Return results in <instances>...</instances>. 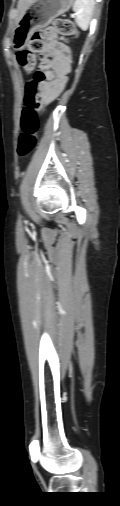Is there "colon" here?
I'll return each mask as SVG.
<instances>
[{"label": "colon", "instance_id": "obj_1", "mask_svg": "<svg viewBox=\"0 0 120 506\" xmlns=\"http://www.w3.org/2000/svg\"><path fill=\"white\" fill-rule=\"evenodd\" d=\"M53 28L64 40H70L77 35L73 22L69 19L58 18L53 22ZM44 31H36L31 37L28 47L17 54L19 65L27 72H32L36 65V55L43 50ZM53 72L38 69L26 82V95L21 113L20 136L17 152L21 158L28 156L36 147L39 130L38 110L42 102L40 84L50 81Z\"/></svg>", "mask_w": 120, "mask_h": 506}]
</instances>
